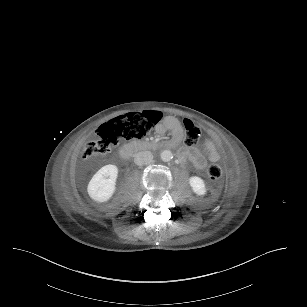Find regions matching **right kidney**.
<instances>
[{
	"label": "right kidney",
	"instance_id": "1",
	"mask_svg": "<svg viewBox=\"0 0 307 307\" xmlns=\"http://www.w3.org/2000/svg\"><path fill=\"white\" fill-rule=\"evenodd\" d=\"M118 168L108 164L99 169L90 180L87 191L89 196L97 202L108 201L115 192Z\"/></svg>",
	"mask_w": 307,
	"mask_h": 307
}]
</instances>
